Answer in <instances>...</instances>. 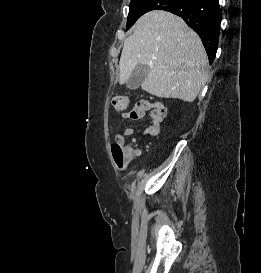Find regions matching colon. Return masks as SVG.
I'll return each mask as SVG.
<instances>
[{
	"instance_id": "colon-1",
	"label": "colon",
	"mask_w": 261,
	"mask_h": 273,
	"mask_svg": "<svg viewBox=\"0 0 261 273\" xmlns=\"http://www.w3.org/2000/svg\"><path fill=\"white\" fill-rule=\"evenodd\" d=\"M114 108L118 111L125 110L130 105V99L127 96H117L112 102ZM132 120L140 119L144 115V106L139 101L129 111ZM112 157L117 167L123 168L128 163V154L126 148L123 146L122 139L117 137L111 145Z\"/></svg>"
}]
</instances>
